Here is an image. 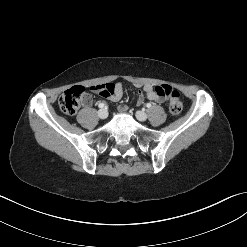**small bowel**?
Returning a JSON list of instances; mask_svg holds the SVG:
<instances>
[{
  "label": "small bowel",
  "instance_id": "c3829d8e",
  "mask_svg": "<svg viewBox=\"0 0 247 247\" xmlns=\"http://www.w3.org/2000/svg\"><path fill=\"white\" fill-rule=\"evenodd\" d=\"M133 86L138 88V89H143V95L145 96V87L146 86H151L154 87L151 84H142L139 82H134ZM103 97L107 98L108 100L112 101V102H117L119 101L122 96H123V84L121 82H116V83H109L108 84V89L105 90V92H103L102 94ZM147 99L151 100L150 98L146 97ZM152 101V100H151ZM85 105H90L91 104V97L87 95L85 101H84ZM121 111H125L127 109V107L125 105L120 106L119 108Z\"/></svg>",
  "mask_w": 247,
  "mask_h": 247
}]
</instances>
